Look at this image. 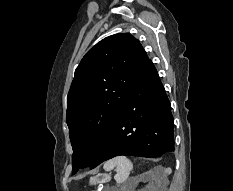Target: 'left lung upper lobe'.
<instances>
[{"label":"left lung upper lobe","mask_w":233,"mask_h":191,"mask_svg":"<svg viewBox=\"0 0 233 191\" xmlns=\"http://www.w3.org/2000/svg\"><path fill=\"white\" fill-rule=\"evenodd\" d=\"M147 61L142 45L129 33L106 37L81 60L68 93L66 113L73 174L93 163Z\"/></svg>","instance_id":"left-lung-upper-lobe-1"}]
</instances>
